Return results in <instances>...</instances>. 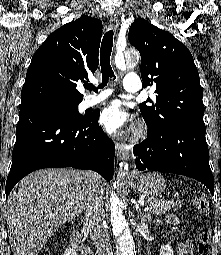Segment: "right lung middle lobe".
<instances>
[{"label": "right lung middle lobe", "mask_w": 221, "mask_h": 255, "mask_svg": "<svg viewBox=\"0 0 221 255\" xmlns=\"http://www.w3.org/2000/svg\"><path fill=\"white\" fill-rule=\"evenodd\" d=\"M80 102L76 103H45V104H40L36 106H32L29 108H26L24 110L28 111H53V112H58L68 119L72 121H80L82 120L85 116H82L79 114L77 111L78 109V104ZM20 110V111H24Z\"/></svg>", "instance_id": "right-lung-middle-lobe-1"}]
</instances>
